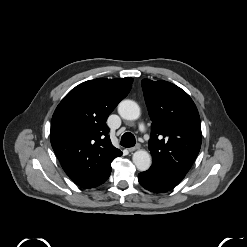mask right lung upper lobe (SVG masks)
I'll list each match as a JSON object with an SVG mask.
<instances>
[{"instance_id":"right-lung-upper-lobe-1","label":"right lung upper lobe","mask_w":247,"mask_h":247,"mask_svg":"<svg viewBox=\"0 0 247 247\" xmlns=\"http://www.w3.org/2000/svg\"><path fill=\"white\" fill-rule=\"evenodd\" d=\"M133 79L98 78L73 88L57 106L51 145L66 174L81 188L104 183L111 162L122 155L109 138L106 120L129 93Z\"/></svg>"}]
</instances>
